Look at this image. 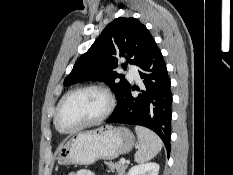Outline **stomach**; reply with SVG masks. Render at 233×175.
<instances>
[{"label": "stomach", "instance_id": "obj_1", "mask_svg": "<svg viewBox=\"0 0 233 175\" xmlns=\"http://www.w3.org/2000/svg\"><path fill=\"white\" fill-rule=\"evenodd\" d=\"M134 144L129 129L104 125L69 138L59 147L57 161L61 165H90L99 159L113 160L129 153Z\"/></svg>", "mask_w": 233, "mask_h": 175}]
</instances>
